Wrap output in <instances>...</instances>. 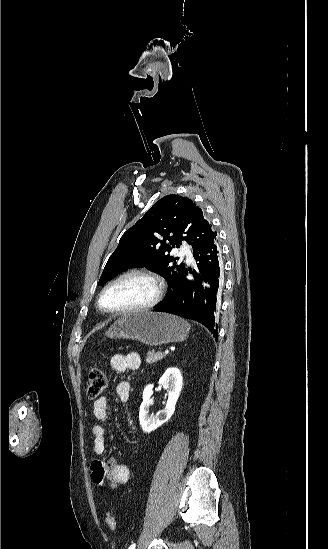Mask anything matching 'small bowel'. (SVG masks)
<instances>
[{
  "mask_svg": "<svg viewBox=\"0 0 328 549\" xmlns=\"http://www.w3.org/2000/svg\"><path fill=\"white\" fill-rule=\"evenodd\" d=\"M141 366V358L138 353L130 352L127 354H115L110 359V368L116 373L125 371H136ZM130 384L127 381L120 382L116 387V393L122 402H128L130 398ZM93 416L97 423L92 426L94 436L93 451L96 455L91 463L92 477L94 482L104 487L108 485L115 489L120 485L126 484L131 476L130 468L118 462L114 456H106L105 427L104 423L108 420V400L106 397H100L93 404ZM129 425L132 422L129 420Z\"/></svg>",
  "mask_w": 328,
  "mask_h": 549,
  "instance_id": "1",
  "label": "small bowel"
}]
</instances>
